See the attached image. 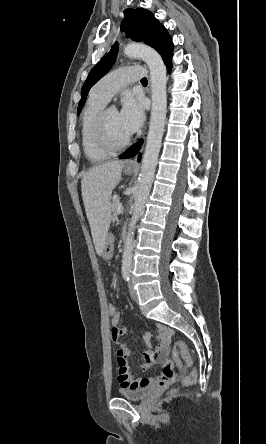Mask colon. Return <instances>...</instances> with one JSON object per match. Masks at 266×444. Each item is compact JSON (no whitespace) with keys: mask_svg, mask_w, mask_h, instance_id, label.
<instances>
[{"mask_svg":"<svg viewBox=\"0 0 266 444\" xmlns=\"http://www.w3.org/2000/svg\"><path fill=\"white\" fill-rule=\"evenodd\" d=\"M107 313L112 319L119 312L113 303L107 304ZM181 359L189 366L190 371L183 377L182 384L184 386H190L195 384L197 380V371L192 367L193 360L189 350L188 345L184 341H179L176 345L175 350L172 353V363L174 366L178 367L181 365Z\"/></svg>","mask_w":266,"mask_h":444,"instance_id":"obj_1","label":"colon"}]
</instances>
